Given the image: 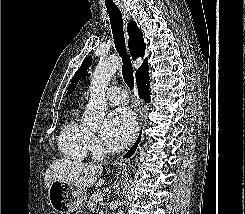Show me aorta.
I'll list each match as a JSON object with an SVG mask.
<instances>
[{"instance_id": "1", "label": "aorta", "mask_w": 245, "mask_h": 214, "mask_svg": "<svg viewBox=\"0 0 245 214\" xmlns=\"http://www.w3.org/2000/svg\"><path fill=\"white\" fill-rule=\"evenodd\" d=\"M119 65L120 61L117 57H110L99 62L92 74L91 97L82 117V122L90 128H99L103 121L107 108L106 90Z\"/></svg>"}]
</instances>
